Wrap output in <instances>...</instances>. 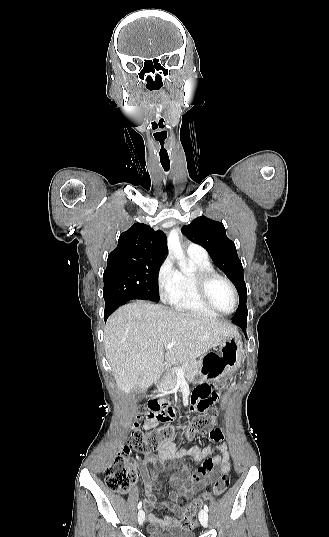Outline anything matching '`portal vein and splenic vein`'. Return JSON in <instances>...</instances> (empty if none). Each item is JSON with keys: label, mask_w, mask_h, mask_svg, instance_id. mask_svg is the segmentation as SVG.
<instances>
[{"label": "portal vein and splenic vein", "mask_w": 329, "mask_h": 537, "mask_svg": "<svg viewBox=\"0 0 329 537\" xmlns=\"http://www.w3.org/2000/svg\"><path fill=\"white\" fill-rule=\"evenodd\" d=\"M173 346H174V343H169V344L166 345V348L171 349V348H173Z\"/></svg>", "instance_id": "18ae733b"}]
</instances>
